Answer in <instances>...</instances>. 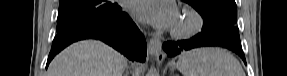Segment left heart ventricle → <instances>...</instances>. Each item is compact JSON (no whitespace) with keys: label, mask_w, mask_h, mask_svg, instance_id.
Segmentation results:
<instances>
[{"label":"left heart ventricle","mask_w":287,"mask_h":76,"mask_svg":"<svg viewBox=\"0 0 287 76\" xmlns=\"http://www.w3.org/2000/svg\"><path fill=\"white\" fill-rule=\"evenodd\" d=\"M188 22H189V20L186 17L179 16L175 26L183 27V26H186L188 24Z\"/></svg>","instance_id":"obj_1"}]
</instances>
